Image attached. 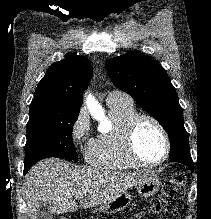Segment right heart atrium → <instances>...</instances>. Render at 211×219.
Returning <instances> with one entry per match:
<instances>
[{
	"instance_id": "1",
	"label": "right heart atrium",
	"mask_w": 211,
	"mask_h": 219,
	"mask_svg": "<svg viewBox=\"0 0 211 219\" xmlns=\"http://www.w3.org/2000/svg\"><path fill=\"white\" fill-rule=\"evenodd\" d=\"M70 139L75 145L91 142L90 123L84 112H79L71 124Z\"/></svg>"
}]
</instances>
